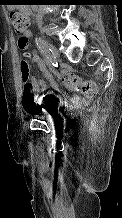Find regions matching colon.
Segmentation results:
<instances>
[{
  "label": "colon",
  "instance_id": "1",
  "mask_svg": "<svg viewBox=\"0 0 122 218\" xmlns=\"http://www.w3.org/2000/svg\"><path fill=\"white\" fill-rule=\"evenodd\" d=\"M10 19L15 30L19 33L25 32L30 26V17L17 11L10 13ZM21 49H24L21 46ZM30 59V53H22V63H21V79L23 83L25 106L29 111H33L35 107V100L33 95V83L30 77V69L28 65V60ZM68 87L73 91H80L84 95L92 96L96 93V87L92 82L83 81L82 79L72 75L65 79Z\"/></svg>",
  "mask_w": 122,
  "mask_h": 218
}]
</instances>
